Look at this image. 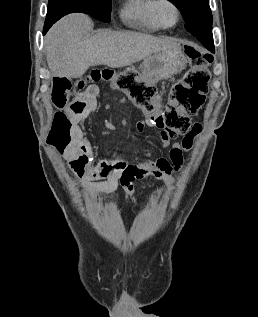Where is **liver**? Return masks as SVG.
<instances>
[{
    "label": "liver",
    "instance_id": "6515ba94",
    "mask_svg": "<svg viewBox=\"0 0 258 317\" xmlns=\"http://www.w3.org/2000/svg\"><path fill=\"white\" fill-rule=\"evenodd\" d=\"M93 26V20L83 12L67 14L51 26L45 36V52L53 74L80 78L94 64L118 68L138 62L153 52L180 46V42H175L177 38H158L128 30H97L90 36Z\"/></svg>",
    "mask_w": 258,
    "mask_h": 317
}]
</instances>
